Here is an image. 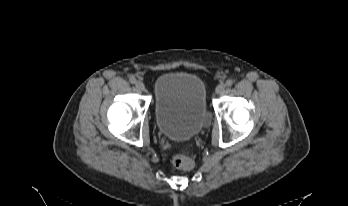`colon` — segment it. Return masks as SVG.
Returning a JSON list of instances; mask_svg holds the SVG:
<instances>
[{
  "instance_id": "1",
  "label": "colon",
  "mask_w": 348,
  "mask_h": 206,
  "mask_svg": "<svg viewBox=\"0 0 348 206\" xmlns=\"http://www.w3.org/2000/svg\"><path fill=\"white\" fill-rule=\"evenodd\" d=\"M172 165L176 169L180 170H190L194 166V162L191 157L187 155H176L172 159Z\"/></svg>"
}]
</instances>
